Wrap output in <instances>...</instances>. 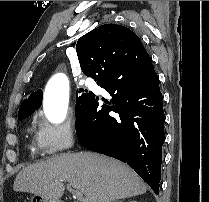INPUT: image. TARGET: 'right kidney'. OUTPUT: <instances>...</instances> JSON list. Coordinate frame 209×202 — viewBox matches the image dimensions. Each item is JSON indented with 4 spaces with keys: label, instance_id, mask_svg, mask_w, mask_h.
<instances>
[{
    "label": "right kidney",
    "instance_id": "right-kidney-1",
    "mask_svg": "<svg viewBox=\"0 0 209 202\" xmlns=\"http://www.w3.org/2000/svg\"><path fill=\"white\" fill-rule=\"evenodd\" d=\"M115 202H121V201H115ZM131 202H136V201H131Z\"/></svg>",
    "mask_w": 209,
    "mask_h": 202
}]
</instances>
